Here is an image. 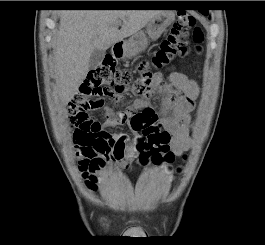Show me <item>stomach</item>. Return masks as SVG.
Instances as JSON below:
<instances>
[{"instance_id": "obj_1", "label": "stomach", "mask_w": 265, "mask_h": 245, "mask_svg": "<svg viewBox=\"0 0 265 245\" xmlns=\"http://www.w3.org/2000/svg\"><path fill=\"white\" fill-rule=\"evenodd\" d=\"M175 14L162 11L152 18L146 25V34L151 40L158 39L166 28L174 21ZM143 31H139L123 43L122 56L131 58L144 51L148 45V38Z\"/></svg>"}]
</instances>
